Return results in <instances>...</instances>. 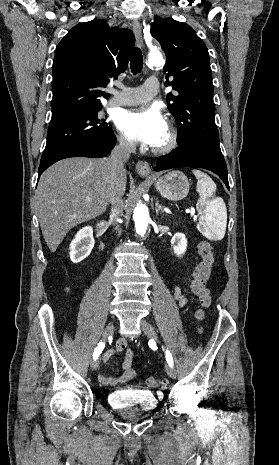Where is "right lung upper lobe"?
I'll return each mask as SVG.
<instances>
[{
  "label": "right lung upper lobe",
  "mask_w": 279,
  "mask_h": 465,
  "mask_svg": "<svg viewBox=\"0 0 279 465\" xmlns=\"http://www.w3.org/2000/svg\"><path fill=\"white\" fill-rule=\"evenodd\" d=\"M134 42L132 31L109 28L105 20L74 26L55 52L51 124L102 107V89L126 69Z\"/></svg>",
  "instance_id": "cb5924a9"
}]
</instances>
